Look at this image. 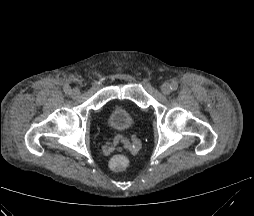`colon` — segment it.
I'll use <instances>...</instances> for the list:
<instances>
[{
  "label": "colon",
  "mask_w": 254,
  "mask_h": 216,
  "mask_svg": "<svg viewBox=\"0 0 254 216\" xmlns=\"http://www.w3.org/2000/svg\"><path fill=\"white\" fill-rule=\"evenodd\" d=\"M127 159L123 155H115L109 160V167L112 171L121 172L127 167Z\"/></svg>",
  "instance_id": "colon-1"
}]
</instances>
